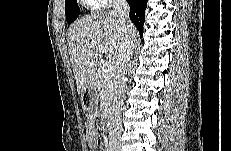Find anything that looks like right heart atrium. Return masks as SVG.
I'll use <instances>...</instances> for the list:
<instances>
[{
	"label": "right heart atrium",
	"instance_id": "d8ad5b80",
	"mask_svg": "<svg viewBox=\"0 0 231 151\" xmlns=\"http://www.w3.org/2000/svg\"><path fill=\"white\" fill-rule=\"evenodd\" d=\"M87 2L94 8L105 7L116 3V1L112 0H88Z\"/></svg>",
	"mask_w": 231,
	"mask_h": 151
}]
</instances>
